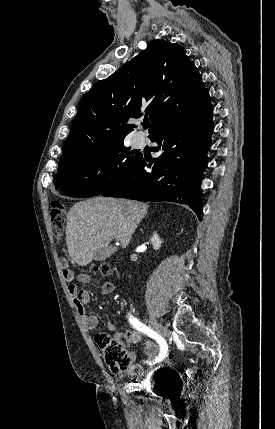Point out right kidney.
Wrapping results in <instances>:
<instances>
[{"instance_id":"right-kidney-1","label":"right kidney","mask_w":275,"mask_h":429,"mask_svg":"<svg viewBox=\"0 0 275 429\" xmlns=\"http://www.w3.org/2000/svg\"><path fill=\"white\" fill-rule=\"evenodd\" d=\"M150 242L153 246V249H155V250L160 249L162 242L156 233L153 234V236L150 239Z\"/></svg>"}]
</instances>
